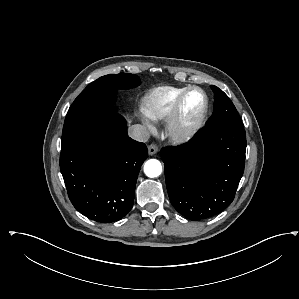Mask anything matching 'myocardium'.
<instances>
[{
    "label": "myocardium",
    "instance_id": "myocardium-1",
    "mask_svg": "<svg viewBox=\"0 0 299 299\" xmlns=\"http://www.w3.org/2000/svg\"><path fill=\"white\" fill-rule=\"evenodd\" d=\"M197 91L202 95L203 107L196 118L189 122L182 120V108L187 96ZM209 109V99L206 92L197 86L186 88L175 101L166 120V134L175 142L189 140L203 125Z\"/></svg>",
    "mask_w": 299,
    "mask_h": 299
}]
</instances>
